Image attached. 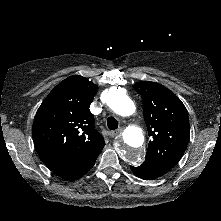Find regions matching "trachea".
Masks as SVG:
<instances>
[{"instance_id": "3493384b", "label": "trachea", "mask_w": 221, "mask_h": 221, "mask_svg": "<svg viewBox=\"0 0 221 221\" xmlns=\"http://www.w3.org/2000/svg\"><path fill=\"white\" fill-rule=\"evenodd\" d=\"M107 126L110 130H115L118 128V121L114 117H109L107 119Z\"/></svg>"}]
</instances>
